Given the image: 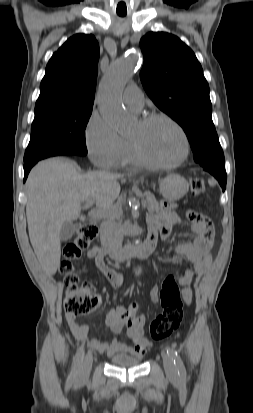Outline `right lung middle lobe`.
Instances as JSON below:
<instances>
[{
	"label": "right lung middle lobe",
	"mask_w": 253,
	"mask_h": 413,
	"mask_svg": "<svg viewBox=\"0 0 253 413\" xmlns=\"http://www.w3.org/2000/svg\"><path fill=\"white\" fill-rule=\"evenodd\" d=\"M92 108L35 113L24 163L65 154L86 155L85 128Z\"/></svg>",
	"instance_id": "right-lung-middle-lobe-1"
}]
</instances>
